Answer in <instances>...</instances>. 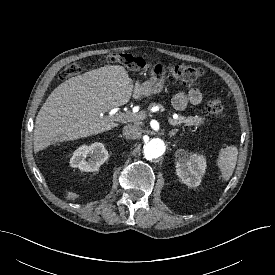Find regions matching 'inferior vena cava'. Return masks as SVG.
Returning <instances> with one entry per match:
<instances>
[{
  "label": "inferior vena cava",
  "instance_id": "obj_1",
  "mask_svg": "<svg viewBox=\"0 0 275 275\" xmlns=\"http://www.w3.org/2000/svg\"><path fill=\"white\" fill-rule=\"evenodd\" d=\"M122 133L127 139H137L141 135V128L138 125L128 124L123 127Z\"/></svg>",
  "mask_w": 275,
  "mask_h": 275
}]
</instances>
